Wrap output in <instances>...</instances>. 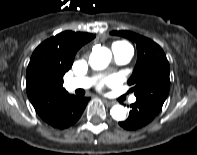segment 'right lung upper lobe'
Listing matches in <instances>:
<instances>
[{
  "label": "right lung upper lobe",
  "instance_id": "cb5924a9",
  "mask_svg": "<svg viewBox=\"0 0 197 155\" xmlns=\"http://www.w3.org/2000/svg\"><path fill=\"white\" fill-rule=\"evenodd\" d=\"M94 34L64 31L42 42L33 52L26 72L27 95L38 115L48 122L70 96L63 76L76 52Z\"/></svg>",
  "mask_w": 197,
  "mask_h": 155
}]
</instances>
